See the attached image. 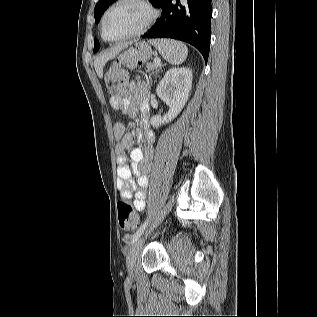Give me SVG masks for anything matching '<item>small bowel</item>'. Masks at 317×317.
<instances>
[{"label": "small bowel", "mask_w": 317, "mask_h": 317, "mask_svg": "<svg viewBox=\"0 0 317 317\" xmlns=\"http://www.w3.org/2000/svg\"><path fill=\"white\" fill-rule=\"evenodd\" d=\"M110 105L129 117L134 118L139 115L140 118V129L135 136L126 131L122 122L114 124L113 135L116 140L118 188L124 197L134 198V206L137 211H143L149 186L148 172L151 169L148 160L153 157L155 141V135L149 128L148 89L144 80L140 77L132 79L123 95H113L110 98ZM135 138L144 139V149L132 148ZM128 150H131L130 166L126 164ZM132 175L137 177V183L132 180Z\"/></svg>", "instance_id": "obj_1"}]
</instances>
